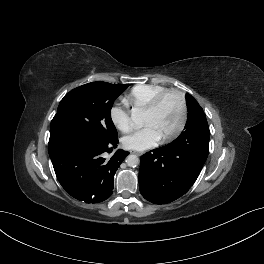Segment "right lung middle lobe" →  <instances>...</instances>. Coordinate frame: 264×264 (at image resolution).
I'll list each match as a JSON object with an SVG mask.
<instances>
[{
  "mask_svg": "<svg viewBox=\"0 0 264 264\" xmlns=\"http://www.w3.org/2000/svg\"><path fill=\"white\" fill-rule=\"evenodd\" d=\"M128 86L92 82L71 90L61 100L51 121L49 144L64 138L97 141L117 138L111 108Z\"/></svg>",
  "mask_w": 264,
  "mask_h": 264,
  "instance_id": "obj_1",
  "label": "right lung middle lobe"
}]
</instances>
